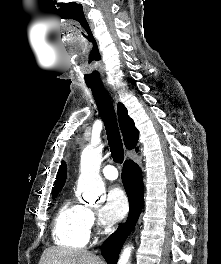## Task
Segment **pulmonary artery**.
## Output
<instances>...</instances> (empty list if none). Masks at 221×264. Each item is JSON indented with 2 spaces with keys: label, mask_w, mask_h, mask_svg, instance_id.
<instances>
[{
  "label": "pulmonary artery",
  "mask_w": 221,
  "mask_h": 264,
  "mask_svg": "<svg viewBox=\"0 0 221 264\" xmlns=\"http://www.w3.org/2000/svg\"><path fill=\"white\" fill-rule=\"evenodd\" d=\"M103 175L108 180H116L118 177V171L115 166L113 165H106L103 168Z\"/></svg>",
  "instance_id": "e3ab8cb5"
}]
</instances>
